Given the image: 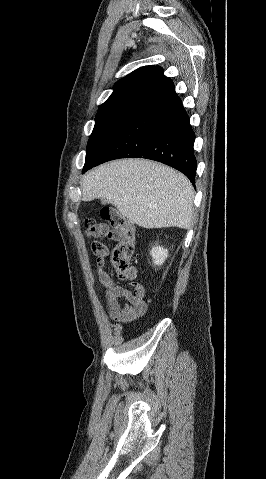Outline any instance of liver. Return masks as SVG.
I'll return each mask as SVG.
<instances>
[{"mask_svg": "<svg viewBox=\"0 0 266 479\" xmlns=\"http://www.w3.org/2000/svg\"><path fill=\"white\" fill-rule=\"evenodd\" d=\"M82 200L107 199L130 221L147 229L193 224L194 190L180 172L145 159L103 164L81 181Z\"/></svg>", "mask_w": 266, "mask_h": 479, "instance_id": "1", "label": "liver"}]
</instances>
